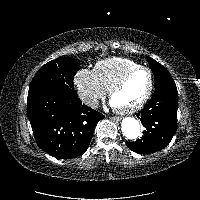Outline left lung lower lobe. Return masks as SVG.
I'll use <instances>...</instances> for the list:
<instances>
[{
  "label": "left lung lower lobe",
  "instance_id": "left-lung-lower-lobe-1",
  "mask_svg": "<svg viewBox=\"0 0 200 200\" xmlns=\"http://www.w3.org/2000/svg\"><path fill=\"white\" fill-rule=\"evenodd\" d=\"M177 88L161 87L157 89L149 103L137 117L146 128L143 137L127 146L140 154L154 153L166 147L177 130Z\"/></svg>",
  "mask_w": 200,
  "mask_h": 200
}]
</instances>
